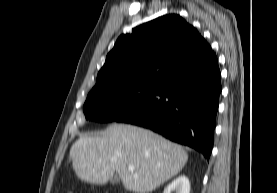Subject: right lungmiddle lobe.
Masks as SVG:
<instances>
[{"label":"right lung middle lobe","mask_w":277,"mask_h":193,"mask_svg":"<svg viewBox=\"0 0 277 193\" xmlns=\"http://www.w3.org/2000/svg\"><path fill=\"white\" fill-rule=\"evenodd\" d=\"M156 89L157 87L136 85L91 92L83 107L85 117L98 122L119 121L145 103Z\"/></svg>","instance_id":"dd1d6c3e"}]
</instances>
